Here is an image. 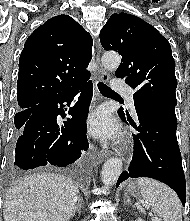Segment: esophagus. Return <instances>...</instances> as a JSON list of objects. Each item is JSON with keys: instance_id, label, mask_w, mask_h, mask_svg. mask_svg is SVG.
<instances>
[{"instance_id": "esophagus-1", "label": "esophagus", "mask_w": 190, "mask_h": 221, "mask_svg": "<svg viewBox=\"0 0 190 221\" xmlns=\"http://www.w3.org/2000/svg\"><path fill=\"white\" fill-rule=\"evenodd\" d=\"M95 61L97 64V74H98V78L103 81V82H107L109 80V74L106 70H104V68L102 67L101 63H100V53H99V47H98V51L96 53L95 56ZM110 156V153L108 151H100L99 152V157L102 159H106Z\"/></svg>"}]
</instances>
